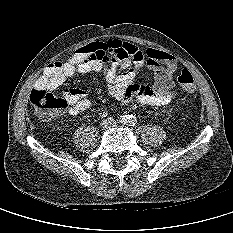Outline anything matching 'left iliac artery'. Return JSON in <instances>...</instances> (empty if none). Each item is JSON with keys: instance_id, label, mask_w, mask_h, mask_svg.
<instances>
[{"instance_id": "obj_1", "label": "left iliac artery", "mask_w": 233, "mask_h": 233, "mask_svg": "<svg viewBox=\"0 0 233 233\" xmlns=\"http://www.w3.org/2000/svg\"><path fill=\"white\" fill-rule=\"evenodd\" d=\"M128 123H129V126H134L135 125L134 117L133 118L131 117V119H129Z\"/></svg>"}]
</instances>
